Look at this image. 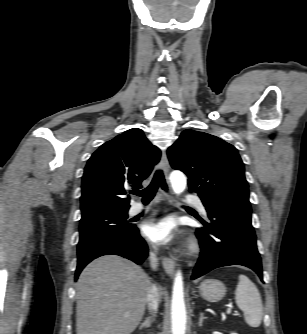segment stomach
I'll return each instance as SVG.
<instances>
[{"instance_id": "obj_1", "label": "stomach", "mask_w": 307, "mask_h": 334, "mask_svg": "<svg viewBox=\"0 0 307 334\" xmlns=\"http://www.w3.org/2000/svg\"><path fill=\"white\" fill-rule=\"evenodd\" d=\"M198 292L203 299L218 302L225 296L226 287L217 279H206L201 282Z\"/></svg>"}]
</instances>
